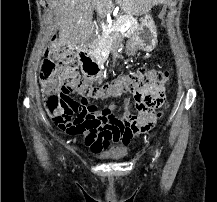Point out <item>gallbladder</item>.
<instances>
[{
    "mask_svg": "<svg viewBox=\"0 0 217 202\" xmlns=\"http://www.w3.org/2000/svg\"><path fill=\"white\" fill-rule=\"evenodd\" d=\"M90 38L91 39L88 42L91 44L93 42L92 40H95V38H97V34H95V32H93V34H91Z\"/></svg>",
    "mask_w": 217,
    "mask_h": 202,
    "instance_id": "1",
    "label": "gallbladder"
}]
</instances>
